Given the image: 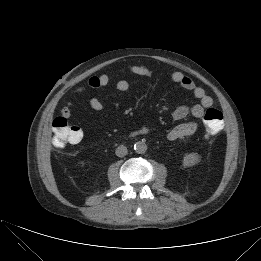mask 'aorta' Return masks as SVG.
<instances>
[{
  "label": "aorta",
  "mask_w": 261,
  "mask_h": 261,
  "mask_svg": "<svg viewBox=\"0 0 261 261\" xmlns=\"http://www.w3.org/2000/svg\"><path fill=\"white\" fill-rule=\"evenodd\" d=\"M134 150L137 154H144L147 151V145L143 141H138L134 144Z\"/></svg>",
  "instance_id": "obj_1"
}]
</instances>
